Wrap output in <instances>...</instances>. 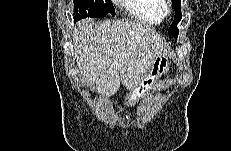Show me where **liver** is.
I'll return each instance as SVG.
<instances>
[{
    "label": "liver",
    "mask_w": 231,
    "mask_h": 151,
    "mask_svg": "<svg viewBox=\"0 0 231 151\" xmlns=\"http://www.w3.org/2000/svg\"><path fill=\"white\" fill-rule=\"evenodd\" d=\"M75 57L85 82L96 84L98 93L111 96L122 83L136 88L155 58L167 55L165 40L148 26L106 20L83 19L73 34Z\"/></svg>",
    "instance_id": "1"
}]
</instances>
